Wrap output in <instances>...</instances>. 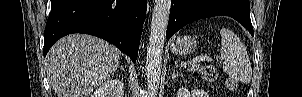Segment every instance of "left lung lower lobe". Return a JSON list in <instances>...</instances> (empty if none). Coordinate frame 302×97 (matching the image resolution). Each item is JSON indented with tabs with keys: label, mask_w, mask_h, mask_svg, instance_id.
<instances>
[{
	"label": "left lung lower lobe",
	"mask_w": 302,
	"mask_h": 97,
	"mask_svg": "<svg viewBox=\"0 0 302 97\" xmlns=\"http://www.w3.org/2000/svg\"><path fill=\"white\" fill-rule=\"evenodd\" d=\"M220 15L234 18L254 36L249 0H172L166 37L195 20Z\"/></svg>",
	"instance_id": "obj_1"
}]
</instances>
